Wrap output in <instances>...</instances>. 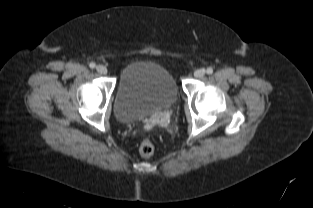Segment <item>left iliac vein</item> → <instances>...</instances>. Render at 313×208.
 I'll list each match as a JSON object with an SVG mask.
<instances>
[{"instance_id": "1", "label": "left iliac vein", "mask_w": 313, "mask_h": 208, "mask_svg": "<svg viewBox=\"0 0 313 208\" xmlns=\"http://www.w3.org/2000/svg\"><path fill=\"white\" fill-rule=\"evenodd\" d=\"M205 73H206L205 69L200 68V69H197V70L194 72V76H195L196 78H201V77H203V76L205 75Z\"/></svg>"}]
</instances>
